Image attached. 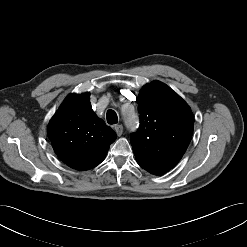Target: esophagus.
I'll use <instances>...</instances> for the list:
<instances>
[{
	"label": "esophagus",
	"instance_id": "obj_1",
	"mask_svg": "<svg viewBox=\"0 0 247 247\" xmlns=\"http://www.w3.org/2000/svg\"><path fill=\"white\" fill-rule=\"evenodd\" d=\"M114 130L117 133L118 136H121L123 133V126L122 125H115Z\"/></svg>",
	"mask_w": 247,
	"mask_h": 247
}]
</instances>
